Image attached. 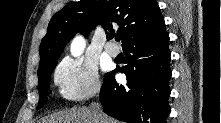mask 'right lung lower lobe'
<instances>
[{
	"label": "right lung lower lobe",
	"mask_w": 221,
	"mask_h": 123,
	"mask_svg": "<svg viewBox=\"0 0 221 123\" xmlns=\"http://www.w3.org/2000/svg\"><path fill=\"white\" fill-rule=\"evenodd\" d=\"M169 35L146 39L128 46L124 53L127 65L121 69L127 84L119 85L114 71L106 74L100 90L104 112L131 123H166L170 114L171 53Z\"/></svg>",
	"instance_id": "98d812e1"
}]
</instances>
